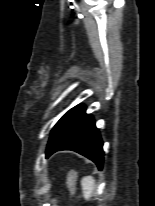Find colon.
Returning <instances> with one entry per match:
<instances>
[{"label": "colon", "instance_id": "1", "mask_svg": "<svg viewBox=\"0 0 155 206\" xmlns=\"http://www.w3.org/2000/svg\"><path fill=\"white\" fill-rule=\"evenodd\" d=\"M69 190H70V192L72 193L73 192V190H74V186H73V184L72 183H69Z\"/></svg>", "mask_w": 155, "mask_h": 206}]
</instances>
